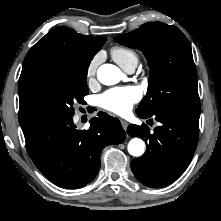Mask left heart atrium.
Returning <instances> with one entry per match:
<instances>
[{
	"label": "left heart atrium",
	"mask_w": 221,
	"mask_h": 221,
	"mask_svg": "<svg viewBox=\"0 0 221 221\" xmlns=\"http://www.w3.org/2000/svg\"><path fill=\"white\" fill-rule=\"evenodd\" d=\"M140 97V91L134 86L116 87L100 95L99 104L110 112L123 115L130 111Z\"/></svg>",
	"instance_id": "left-heart-atrium-1"
}]
</instances>
